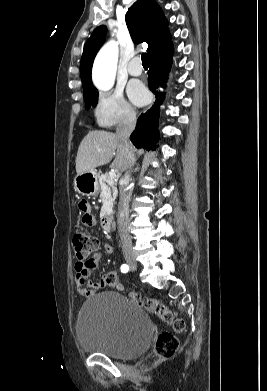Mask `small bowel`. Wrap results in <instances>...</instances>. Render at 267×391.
Wrapping results in <instances>:
<instances>
[{
  "mask_svg": "<svg viewBox=\"0 0 267 391\" xmlns=\"http://www.w3.org/2000/svg\"><path fill=\"white\" fill-rule=\"evenodd\" d=\"M78 209L83 213L82 223L85 226H93L96 223L95 217L91 212V207L89 203L85 200H81L78 203ZM106 251L112 253L113 249L111 246H106ZM100 255L93 257V261L90 264H75V281L77 286V291L83 297H90L100 289L109 286L108 284V275L105 273L102 275L101 279L98 282L91 283L89 282V276L93 270L98 267Z\"/></svg>",
  "mask_w": 267,
  "mask_h": 391,
  "instance_id": "c3829d8e",
  "label": "small bowel"
}]
</instances>
